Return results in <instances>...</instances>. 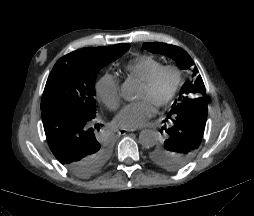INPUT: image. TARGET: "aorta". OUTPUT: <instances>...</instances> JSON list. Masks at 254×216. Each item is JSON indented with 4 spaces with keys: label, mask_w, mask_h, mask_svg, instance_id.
Segmentation results:
<instances>
[{
    "label": "aorta",
    "mask_w": 254,
    "mask_h": 216,
    "mask_svg": "<svg viewBox=\"0 0 254 216\" xmlns=\"http://www.w3.org/2000/svg\"><path fill=\"white\" fill-rule=\"evenodd\" d=\"M158 140V135L154 130L144 129L139 134L140 144L145 148L153 147Z\"/></svg>",
    "instance_id": "762f6f07"
}]
</instances>
